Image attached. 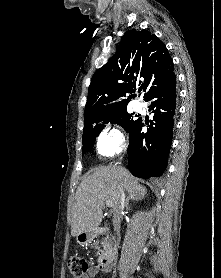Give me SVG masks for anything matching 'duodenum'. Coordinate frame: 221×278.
I'll return each mask as SVG.
<instances>
[{"mask_svg": "<svg viewBox=\"0 0 221 278\" xmlns=\"http://www.w3.org/2000/svg\"><path fill=\"white\" fill-rule=\"evenodd\" d=\"M109 233L107 228H97L91 231L82 232L79 236V241L83 244L89 242L90 240L95 239L97 236ZM115 248L109 247L105 252L101 253L98 258V265L100 269L106 270L109 269Z\"/></svg>", "mask_w": 221, "mask_h": 278, "instance_id": "410a0bca", "label": "duodenum"}]
</instances>
